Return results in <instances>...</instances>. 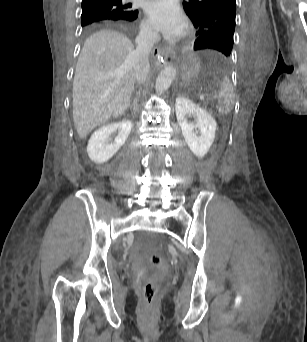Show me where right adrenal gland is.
<instances>
[{
	"mask_svg": "<svg viewBox=\"0 0 307 342\" xmlns=\"http://www.w3.org/2000/svg\"><path fill=\"white\" fill-rule=\"evenodd\" d=\"M137 104V100H134V104H132L131 108H133V106H136Z\"/></svg>",
	"mask_w": 307,
	"mask_h": 342,
	"instance_id": "right-adrenal-gland-1",
	"label": "right adrenal gland"
}]
</instances>
